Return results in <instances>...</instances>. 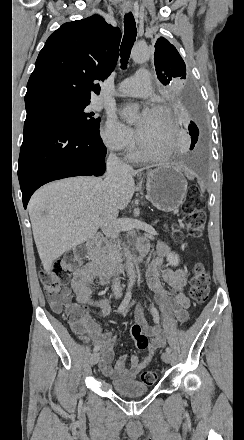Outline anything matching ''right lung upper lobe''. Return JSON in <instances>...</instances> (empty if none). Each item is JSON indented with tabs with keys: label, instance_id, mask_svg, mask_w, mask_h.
<instances>
[{
	"label": "right lung upper lobe",
	"instance_id": "right-lung-upper-lobe-1",
	"mask_svg": "<svg viewBox=\"0 0 244 440\" xmlns=\"http://www.w3.org/2000/svg\"><path fill=\"white\" fill-rule=\"evenodd\" d=\"M120 40L119 28L97 14L63 24L40 51L25 99L47 94L98 95L100 85L94 81L104 80L114 70Z\"/></svg>",
	"mask_w": 244,
	"mask_h": 440
}]
</instances>
